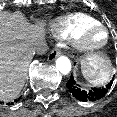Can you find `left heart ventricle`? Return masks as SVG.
Here are the masks:
<instances>
[{"label": "left heart ventricle", "mask_w": 117, "mask_h": 117, "mask_svg": "<svg viewBox=\"0 0 117 117\" xmlns=\"http://www.w3.org/2000/svg\"><path fill=\"white\" fill-rule=\"evenodd\" d=\"M104 38V34L101 31H95L89 36V40L93 43L101 42Z\"/></svg>", "instance_id": "left-heart-ventricle-1"}]
</instances>
